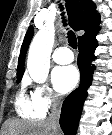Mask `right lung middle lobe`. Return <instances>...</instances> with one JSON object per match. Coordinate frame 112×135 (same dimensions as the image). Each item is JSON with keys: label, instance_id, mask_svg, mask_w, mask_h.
I'll return each instance as SVG.
<instances>
[{"label": "right lung middle lobe", "instance_id": "dd1d6c3e", "mask_svg": "<svg viewBox=\"0 0 112 135\" xmlns=\"http://www.w3.org/2000/svg\"><path fill=\"white\" fill-rule=\"evenodd\" d=\"M21 81V78H17V83H19Z\"/></svg>", "mask_w": 112, "mask_h": 135}]
</instances>
